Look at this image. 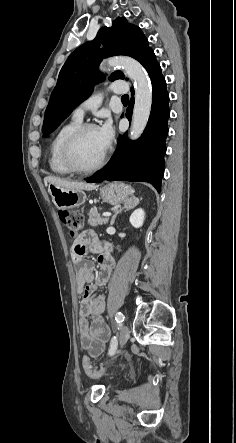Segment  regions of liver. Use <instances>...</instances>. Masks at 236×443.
<instances>
[{
    "instance_id": "liver-1",
    "label": "liver",
    "mask_w": 236,
    "mask_h": 443,
    "mask_svg": "<svg viewBox=\"0 0 236 443\" xmlns=\"http://www.w3.org/2000/svg\"><path fill=\"white\" fill-rule=\"evenodd\" d=\"M44 181L46 183L49 182L50 184L71 190H93L96 188L95 184H88L83 182H71L53 176L46 177Z\"/></svg>"
}]
</instances>
